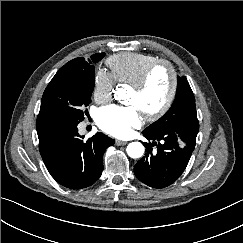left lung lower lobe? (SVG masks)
Listing matches in <instances>:
<instances>
[{
    "mask_svg": "<svg viewBox=\"0 0 243 243\" xmlns=\"http://www.w3.org/2000/svg\"><path fill=\"white\" fill-rule=\"evenodd\" d=\"M149 142L143 143L146 154L134 166L136 177L153 188H164L175 182L185 170L195 147L191 127L181 126L151 134L143 130Z\"/></svg>",
    "mask_w": 243,
    "mask_h": 243,
    "instance_id": "obj_1",
    "label": "left lung lower lobe"
}]
</instances>
